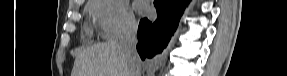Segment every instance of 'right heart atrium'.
<instances>
[{"label": "right heart atrium", "mask_w": 287, "mask_h": 76, "mask_svg": "<svg viewBox=\"0 0 287 76\" xmlns=\"http://www.w3.org/2000/svg\"><path fill=\"white\" fill-rule=\"evenodd\" d=\"M91 14L106 39H119L132 34L137 27L133 11L122 0H95Z\"/></svg>", "instance_id": "obj_1"}]
</instances>
